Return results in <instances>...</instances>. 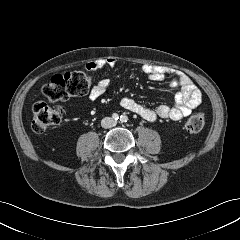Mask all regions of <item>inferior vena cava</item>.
<instances>
[{
    "mask_svg": "<svg viewBox=\"0 0 240 240\" xmlns=\"http://www.w3.org/2000/svg\"><path fill=\"white\" fill-rule=\"evenodd\" d=\"M116 125V122L111 117H105L101 120V126L103 128H111Z\"/></svg>",
    "mask_w": 240,
    "mask_h": 240,
    "instance_id": "1",
    "label": "inferior vena cava"
}]
</instances>
